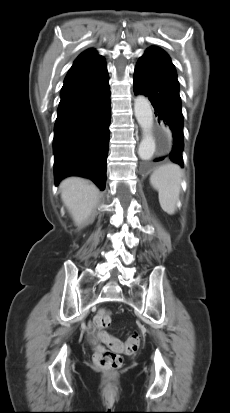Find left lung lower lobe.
<instances>
[{
  "instance_id": "1",
  "label": "left lung lower lobe",
  "mask_w": 230,
  "mask_h": 413,
  "mask_svg": "<svg viewBox=\"0 0 230 413\" xmlns=\"http://www.w3.org/2000/svg\"><path fill=\"white\" fill-rule=\"evenodd\" d=\"M133 89L135 94L149 98L158 121H163L171 129L173 145L168 157L183 167V115L179 82L175 67L165 51L158 47L145 51L135 67Z\"/></svg>"
}]
</instances>
